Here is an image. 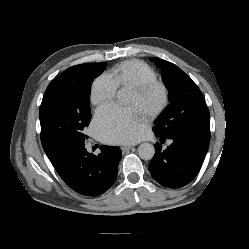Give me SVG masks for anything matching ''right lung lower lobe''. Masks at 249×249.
<instances>
[{
	"label": "right lung lower lobe",
	"mask_w": 249,
	"mask_h": 249,
	"mask_svg": "<svg viewBox=\"0 0 249 249\" xmlns=\"http://www.w3.org/2000/svg\"><path fill=\"white\" fill-rule=\"evenodd\" d=\"M101 153H88L84 142L58 144L45 151L63 181L74 191L97 196L116 180L121 150L101 146Z\"/></svg>",
	"instance_id": "obj_1"
}]
</instances>
